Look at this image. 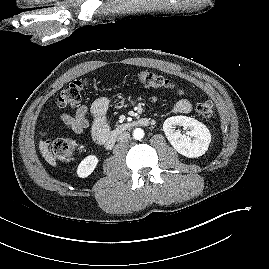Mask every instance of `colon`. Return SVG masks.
Here are the masks:
<instances>
[{
	"label": "colon",
	"mask_w": 269,
	"mask_h": 269,
	"mask_svg": "<svg viewBox=\"0 0 269 269\" xmlns=\"http://www.w3.org/2000/svg\"><path fill=\"white\" fill-rule=\"evenodd\" d=\"M137 77L142 84L150 88L169 89L173 87L170 80L154 72L142 71ZM86 86L87 82L83 79L72 81L61 91L58 105L62 108L78 106ZM196 110L201 117L208 118L213 114V104L211 101L201 102L197 105ZM44 139L52 155L61 161L71 160L78 148L77 141L72 138L44 137Z\"/></svg>",
	"instance_id": "1"
}]
</instances>
